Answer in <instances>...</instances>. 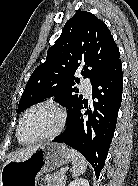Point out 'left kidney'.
Instances as JSON below:
<instances>
[{
	"label": "left kidney",
	"instance_id": "left-kidney-1",
	"mask_svg": "<svg viewBox=\"0 0 138 186\" xmlns=\"http://www.w3.org/2000/svg\"><path fill=\"white\" fill-rule=\"evenodd\" d=\"M69 186H89V182L87 179H75Z\"/></svg>",
	"mask_w": 138,
	"mask_h": 186
}]
</instances>
